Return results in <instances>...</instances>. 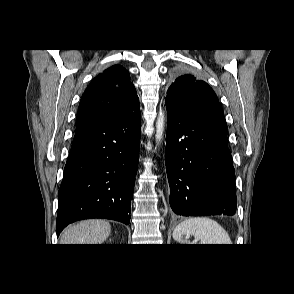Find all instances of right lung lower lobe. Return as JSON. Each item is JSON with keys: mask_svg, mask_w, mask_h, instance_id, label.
<instances>
[{"mask_svg": "<svg viewBox=\"0 0 294 294\" xmlns=\"http://www.w3.org/2000/svg\"><path fill=\"white\" fill-rule=\"evenodd\" d=\"M140 134L139 101L110 119L76 127L58 193L57 236L82 219L129 224Z\"/></svg>", "mask_w": 294, "mask_h": 294, "instance_id": "obj_1", "label": "right lung lower lobe"}]
</instances>
